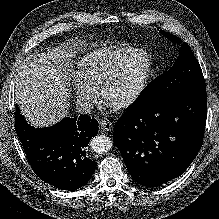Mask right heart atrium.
I'll return each mask as SVG.
<instances>
[{
	"mask_svg": "<svg viewBox=\"0 0 219 219\" xmlns=\"http://www.w3.org/2000/svg\"><path fill=\"white\" fill-rule=\"evenodd\" d=\"M72 87L74 89L77 102L82 108L88 110L96 103V89L90 87L82 80H80L78 77H75L72 80Z\"/></svg>",
	"mask_w": 219,
	"mask_h": 219,
	"instance_id": "1",
	"label": "right heart atrium"
}]
</instances>
